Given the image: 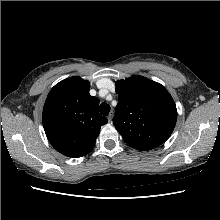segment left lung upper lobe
Here are the masks:
<instances>
[{
	"label": "left lung upper lobe",
	"mask_w": 220,
	"mask_h": 220,
	"mask_svg": "<svg viewBox=\"0 0 220 220\" xmlns=\"http://www.w3.org/2000/svg\"><path fill=\"white\" fill-rule=\"evenodd\" d=\"M118 104L113 124L132 148L154 149L174 130L177 109L173 98L161 84L142 76L116 82Z\"/></svg>",
	"instance_id": "1"
}]
</instances>
